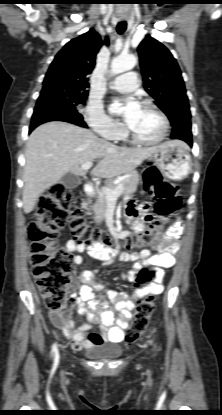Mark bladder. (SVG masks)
Segmentation results:
<instances>
[{"label":"bladder","instance_id":"obj_1","mask_svg":"<svg viewBox=\"0 0 222 415\" xmlns=\"http://www.w3.org/2000/svg\"><path fill=\"white\" fill-rule=\"evenodd\" d=\"M85 354L92 359H116L122 356L123 349L117 345H102L88 348Z\"/></svg>","mask_w":222,"mask_h":415}]
</instances>
